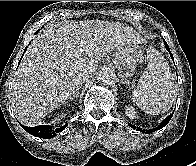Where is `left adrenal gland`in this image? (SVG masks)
<instances>
[{
	"mask_svg": "<svg viewBox=\"0 0 196 166\" xmlns=\"http://www.w3.org/2000/svg\"><path fill=\"white\" fill-rule=\"evenodd\" d=\"M122 83L130 85L129 81L125 77H122Z\"/></svg>",
	"mask_w": 196,
	"mask_h": 166,
	"instance_id": "left-adrenal-gland-1",
	"label": "left adrenal gland"
}]
</instances>
